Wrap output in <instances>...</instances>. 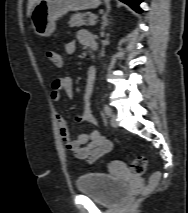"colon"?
Masks as SVG:
<instances>
[{"mask_svg": "<svg viewBox=\"0 0 188 213\" xmlns=\"http://www.w3.org/2000/svg\"><path fill=\"white\" fill-rule=\"evenodd\" d=\"M47 57L50 60L53 61H59V54L56 51L53 50H48L47 51ZM146 165H147V160L145 157L140 156L137 157L131 164H130V173L134 176H141L142 174H144L145 170H146ZM158 177V173H154L153 174V180L157 179ZM145 188L141 187L140 188V192H144Z\"/></svg>", "mask_w": 188, "mask_h": 213, "instance_id": "1", "label": "colon"}]
</instances>
